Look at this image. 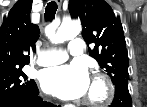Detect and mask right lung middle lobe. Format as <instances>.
Wrapping results in <instances>:
<instances>
[{
  "instance_id": "obj_1",
  "label": "right lung middle lobe",
  "mask_w": 147,
  "mask_h": 107,
  "mask_svg": "<svg viewBox=\"0 0 147 107\" xmlns=\"http://www.w3.org/2000/svg\"><path fill=\"white\" fill-rule=\"evenodd\" d=\"M24 65L0 72V104L22 94L35 92L37 85L34 80H27L22 71Z\"/></svg>"
}]
</instances>
